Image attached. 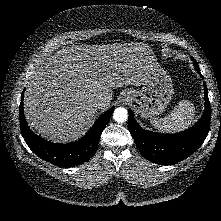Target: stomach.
<instances>
[{
    "label": "stomach",
    "instance_id": "stomach-1",
    "mask_svg": "<svg viewBox=\"0 0 221 221\" xmlns=\"http://www.w3.org/2000/svg\"><path fill=\"white\" fill-rule=\"evenodd\" d=\"M174 93L173 83L168 73L159 65L152 67L142 83L140 90L125 91L127 102L136 104L142 118L161 114L171 101Z\"/></svg>",
    "mask_w": 221,
    "mask_h": 221
}]
</instances>
